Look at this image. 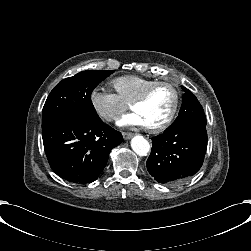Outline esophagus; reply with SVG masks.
<instances>
[{
  "mask_svg": "<svg viewBox=\"0 0 251 251\" xmlns=\"http://www.w3.org/2000/svg\"><path fill=\"white\" fill-rule=\"evenodd\" d=\"M122 135H123L125 140H129V139H131L133 137V133L123 132Z\"/></svg>",
  "mask_w": 251,
  "mask_h": 251,
  "instance_id": "34e87169",
  "label": "esophagus"
}]
</instances>
